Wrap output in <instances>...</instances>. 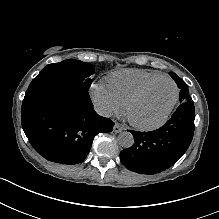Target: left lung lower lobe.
Returning <instances> with one entry per match:
<instances>
[{
	"mask_svg": "<svg viewBox=\"0 0 219 219\" xmlns=\"http://www.w3.org/2000/svg\"><path fill=\"white\" fill-rule=\"evenodd\" d=\"M194 104L179 105L160 128L149 132L130 131L134 144L120 152L122 164L140 174H156L171 167L188 149L194 134Z\"/></svg>",
	"mask_w": 219,
	"mask_h": 219,
	"instance_id": "obj_1",
	"label": "left lung lower lobe"
}]
</instances>
